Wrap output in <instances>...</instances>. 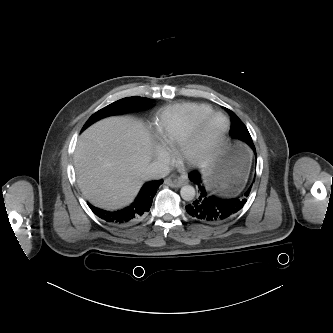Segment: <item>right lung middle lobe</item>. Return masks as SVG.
I'll return each instance as SVG.
<instances>
[{
  "label": "right lung middle lobe",
  "instance_id": "dd1d6c3e",
  "mask_svg": "<svg viewBox=\"0 0 333 333\" xmlns=\"http://www.w3.org/2000/svg\"><path fill=\"white\" fill-rule=\"evenodd\" d=\"M151 106H153V104L150 99L138 96L118 100L93 114L84 125L82 131L101 118L110 115L123 114L129 111L141 110Z\"/></svg>",
  "mask_w": 333,
  "mask_h": 333
}]
</instances>
